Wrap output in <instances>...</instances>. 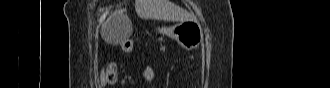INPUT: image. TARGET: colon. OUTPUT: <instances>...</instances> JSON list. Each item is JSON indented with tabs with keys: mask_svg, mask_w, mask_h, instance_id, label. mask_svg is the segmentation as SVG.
Here are the masks:
<instances>
[{
	"mask_svg": "<svg viewBox=\"0 0 330 88\" xmlns=\"http://www.w3.org/2000/svg\"><path fill=\"white\" fill-rule=\"evenodd\" d=\"M121 47L125 50H132L133 41L131 39H126L121 43ZM117 68L114 64L107 65L101 76L102 84L105 86L114 85L117 81Z\"/></svg>",
	"mask_w": 330,
	"mask_h": 88,
	"instance_id": "5ec220e1",
	"label": "colon"
}]
</instances>
